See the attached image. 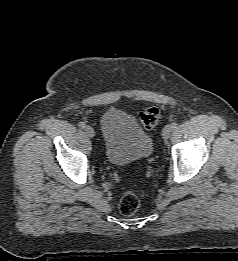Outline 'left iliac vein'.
Wrapping results in <instances>:
<instances>
[{
    "label": "left iliac vein",
    "mask_w": 238,
    "mask_h": 261,
    "mask_svg": "<svg viewBox=\"0 0 238 261\" xmlns=\"http://www.w3.org/2000/svg\"><path fill=\"white\" fill-rule=\"evenodd\" d=\"M172 131H173V129H172L171 125L165 126L162 130L163 139H165V140L168 139L171 136Z\"/></svg>",
    "instance_id": "4c4485c4"
}]
</instances>
